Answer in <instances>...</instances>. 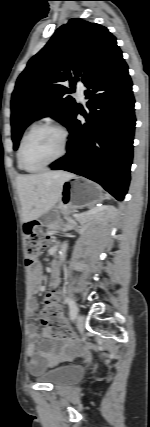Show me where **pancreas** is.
<instances>
[{
  "label": "pancreas",
  "instance_id": "obj_1",
  "mask_svg": "<svg viewBox=\"0 0 150 427\" xmlns=\"http://www.w3.org/2000/svg\"><path fill=\"white\" fill-rule=\"evenodd\" d=\"M73 217L76 218V219H80L81 218V216L77 215V214H74ZM73 217L70 216L69 214H65V219L68 222V224H73L75 222L74 219H73Z\"/></svg>",
  "mask_w": 150,
  "mask_h": 427
}]
</instances>
